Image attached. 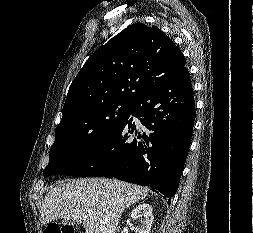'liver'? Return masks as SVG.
<instances>
[{
  "mask_svg": "<svg viewBox=\"0 0 253 233\" xmlns=\"http://www.w3.org/2000/svg\"><path fill=\"white\" fill-rule=\"evenodd\" d=\"M147 192V188L116 179L65 180L46 194L41 223L59 218L82 222L85 233H116L124 210L144 199Z\"/></svg>",
  "mask_w": 253,
  "mask_h": 233,
  "instance_id": "6515ba94",
  "label": "liver"
}]
</instances>
